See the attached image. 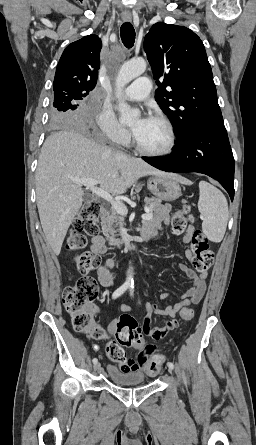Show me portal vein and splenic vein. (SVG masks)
<instances>
[{"label": "portal vein and splenic vein", "mask_w": 256, "mask_h": 445, "mask_svg": "<svg viewBox=\"0 0 256 445\" xmlns=\"http://www.w3.org/2000/svg\"><path fill=\"white\" fill-rule=\"evenodd\" d=\"M78 184L84 185L86 188L90 189L91 192L102 199L106 200L111 204V206L121 215L126 216L128 213L127 207L119 200H114L111 194L104 190L103 188L97 187L102 181L93 178H72ZM153 217L152 212L146 209V213L142 215L143 220H151Z\"/></svg>", "instance_id": "obj_1"}]
</instances>
